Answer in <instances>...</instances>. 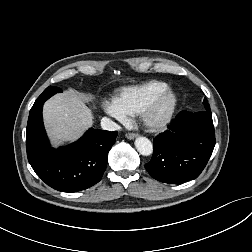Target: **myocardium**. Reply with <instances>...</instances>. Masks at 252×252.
Wrapping results in <instances>:
<instances>
[{
  "label": "myocardium",
  "instance_id": "myocardium-1",
  "mask_svg": "<svg viewBox=\"0 0 252 252\" xmlns=\"http://www.w3.org/2000/svg\"><path fill=\"white\" fill-rule=\"evenodd\" d=\"M169 99V106L159 117H154L153 113L164 99ZM179 104L178 93L171 87H166L155 94L152 99L143 107L139 114L141 123L152 131L165 129L172 121Z\"/></svg>",
  "mask_w": 252,
  "mask_h": 252
}]
</instances>
